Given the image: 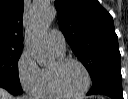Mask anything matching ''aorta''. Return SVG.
I'll list each match as a JSON object with an SVG mask.
<instances>
[{
    "label": "aorta",
    "mask_w": 128,
    "mask_h": 99,
    "mask_svg": "<svg viewBox=\"0 0 128 99\" xmlns=\"http://www.w3.org/2000/svg\"><path fill=\"white\" fill-rule=\"evenodd\" d=\"M55 16L56 11L53 7L40 6L34 10L27 28L26 47L40 66L52 64L55 60L54 54L47 44L45 33Z\"/></svg>",
    "instance_id": "1"
}]
</instances>
